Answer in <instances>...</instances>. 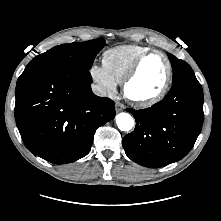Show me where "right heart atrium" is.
<instances>
[{
  "label": "right heart atrium",
  "instance_id": "d8ad5b80",
  "mask_svg": "<svg viewBox=\"0 0 221 221\" xmlns=\"http://www.w3.org/2000/svg\"><path fill=\"white\" fill-rule=\"evenodd\" d=\"M89 77L101 96L114 97L117 94V83L103 65L92 64L89 67Z\"/></svg>",
  "mask_w": 221,
  "mask_h": 221
}]
</instances>
